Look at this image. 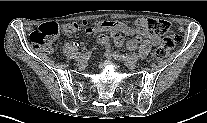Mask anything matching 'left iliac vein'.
<instances>
[{
	"mask_svg": "<svg viewBox=\"0 0 207 123\" xmlns=\"http://www.w3.org/2000/svg\"><path fill=\"white\" fill-rule=\"evenodd\" d=\"M114 58H115V59H120V57H119L118 55H114ZM125 65H126L129 69H134V68H136V66H137L136 62H132V61H128V60L125 61Z\"/></svg>",
	"mask_w": 207,
	"mask_h": 123,
	"instance_id": "1",
	"label": "left iliac vein"
}]
</instances>
